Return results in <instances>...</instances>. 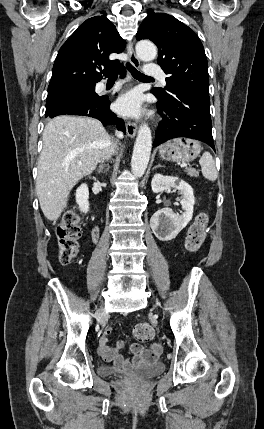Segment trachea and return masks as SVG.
Masks as SVG:
<instances>
[{"label":"trachea","instance_id":"trachea-1","mask_svg":"<svg viewBox=\"0 0 264 429\" xmlns=\"http://www.w3.org/2000/svg\"><path fill=\"white\" fill-rule=\"evenodd\" d=\"M127 68L131 72L132 76L139 80H151V77H148L141 72H139L135 67H133L130 63H127ZM117 75H112L111 78H116Z\"/></svg>","mask_w":264,"mask_h":429}]
</instances>
